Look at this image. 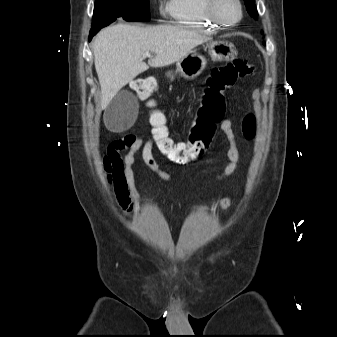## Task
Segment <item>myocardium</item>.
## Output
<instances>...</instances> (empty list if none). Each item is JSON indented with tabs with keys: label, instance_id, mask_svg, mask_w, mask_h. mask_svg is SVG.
Returning a JSON list of instances; mask_svg holds the SVG:
<instances>
[{
	"label": "myocardium",
	"instance_id": "1",
	"mask_svg": "<svg viewBox=\"0 0 337 337\" xmlns=\"http://www.w3.org/2000/svg\"><path fill=\"white\" fill-rule=\"evenodd\" d=\"M222 2L223 0H207V11L211 20L224 27H233L239 24L244 16L242 1L233 0L239 12V16L236 20H228L221 14L220 5Z\"/></svg>",
	"mask_w": 337,
	"mask_h": 337
}]
</instances>
